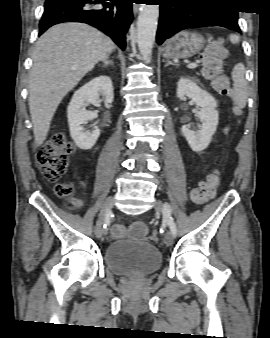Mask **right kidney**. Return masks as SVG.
Listing matches in <instances>:
<instances>
[{"mask_svg":"<svg viewBox=\"0 0 270 338\" xmlns=\"http://www.w3.org/2000/svg\"><path fill=\"white\" fill-rule=\"evenodd\" d=\"M102 95L107 103H112L113 86L112 80L108 76H99L86 83L78 89L67 108V117L70 135L75 144L83 150H88L94 146L100 136V129L85 130L83 125L97 117V113L87 111L89 104H98Z\"/></svg>","mask_w":270,"mask_h":338,"instance_id":"obj_1","label":"right kidney"}]
</instances>
